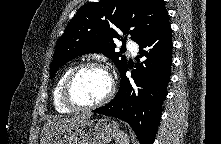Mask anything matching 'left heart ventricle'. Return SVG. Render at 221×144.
I'll use <instances>...</instances> for the list:
<instances>
[{
    "mask_svg": "<svg viewBox=\"0 0 221 144\" xmlns=\"http://www.w3.org/2000/svg\"><path fill=\"white\" fill-rule=\"evenodd\" d=\"M109 87L110 80L104 71L88 68L75 78L71 87V95L79 104H92L102 99Z\"/></svg>",
    "mask_w": 221,
    "mask_h": 144,
    "instance_id": "obj_1",
    "label": "left heart ventricle"
}]
</instances>
